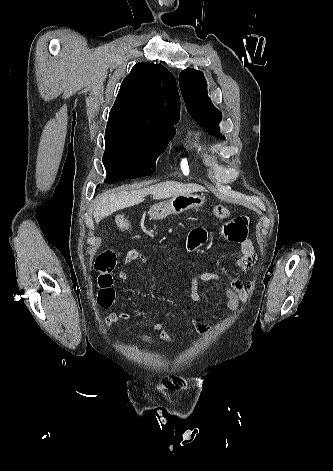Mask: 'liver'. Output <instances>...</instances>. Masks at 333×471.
Listing matches in <instances>:
<instances>
[{"label": "liver", "instance_id": "1", "mask_svg": "<svg viewBox=\"0 0 333 471\" xmlns=\"http://www.w3.org/2000/svg\"><path fill=\"white\" fill-rule=\"evenodd\" d=\"M205 191V188L198 184H183L176 181H166L154 186L132 191L105 192L95 201L93 216L95 222H99L118 210L140 204L145 196L151 194L154 200L167 199L177 195L191 194Z\"/></svg>", "mask_w": 333, "mask_h": 471}]
</instances>
